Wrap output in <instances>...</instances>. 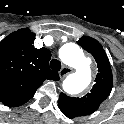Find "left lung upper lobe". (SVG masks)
Wrapping results in <instances>:
<instances>
[{
  "mask_svg": "<svg viewBox=\"0 0 124 124\" xmlns=\"http://www.w3.org/2000/svg\"><path fill=\"white\" fill-rule=\"evenodd\" d=\"M77 43L95 58L98 74L93 88L85 96L75 98L60 94L59 108L70 119L95 112L109 96L113 85L111 66L102 45L92 37H82Z\"/></svg>",
  "mask_w": 124,
  "mask_h": 124,
  "instance_id": "obj_1",
  "label": "left lung upper lobe"
}]
</instances>
